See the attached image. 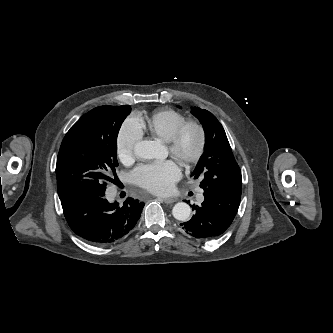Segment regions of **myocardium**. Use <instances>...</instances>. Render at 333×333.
Wrapping results in <instances>:
<instances>
[{
	"label": "myocardium",
	"mask_w": 333,
	"mask_h": 333,
	"mask_svg": "<svg viewBox=\"0 0 333 333\" xmlns=\"http://www.w3.org/2000/svg\"><path fill=\"white\" fill-rule=\"evenodd\" d=\"M194 131L197 136L195 149L191 153L183 150V139L188 131ZM170 153L187 167L194 166L203 157L207 145V133L204 126L195 120H185L173 132L168 141Z\"/></svg>",
	"instance_id": "myocardium-1"
}]
</instances>
